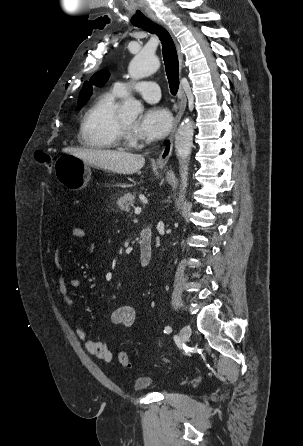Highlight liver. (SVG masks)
Masks as SVG:
<instances>
[{"label":"liver","instance_id":"liver-1","mask_svg":"<svg viewBox=\"0 0 303 446\" xmlns=\"http://www.w3.org/2000/svg\"><path fill=\"white\" fill-rule=\"evenodd\" d=\"M63 151L91 165L123 175L134 174L145 164V158L140 154L73 147H67Z\"/></svg>","mask_w":303,"mask_h":446}]
</instances>
